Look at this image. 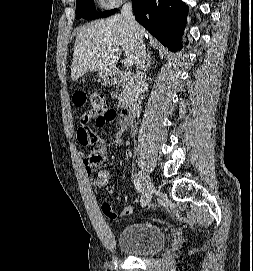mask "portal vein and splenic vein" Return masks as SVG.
<instances>
[{
  "label": "portal vein and splenic vein",
  "mask_w": 253,
  "mask_h": 271,
  "mask_svg": "<svg viewBox=\"0 0 253 271\" xmlns=\"http://www.w3.org/2000/svg\"><path fill=\"white\" fill-rule=\"evenodd\" d=\"M107 51L108 52L121 53L119 48H114V49L108 48ZM124 65L126 67H131L133 65V61L131 59H125L124 60Z\"/></svg>",
  "instance_id": "obj_1"
}]
</instances>
